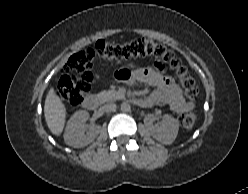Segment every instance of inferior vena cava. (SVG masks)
Returning <instances> with one entry per match:
<instances>
[{
  "mask_svg": "<svg viewBox=\"0 0 248 194\" xmlns=\"http://www.w3.org/2000/svg\"><path fill=\"white\" fill-rule=\"evenodd\" d=\"M116 104L115 103H107L103 106L105 112H114L116 111Z\"/></svg>",
  "mask_w": 248,
  "mask_h": 194,
  "instance_id": "obj_1",
  "label": "inferior vena cava"
}]
</instances>
